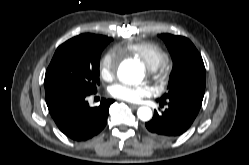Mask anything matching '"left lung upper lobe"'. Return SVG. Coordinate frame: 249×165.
Masks as SVG:
<instances>
[{"label": "left lung upper lobe", "mask_w": 249, "mask_h": 165, "mask_svg": "<svg viewBox=\"0 0 249 165\" xmlns=\"http://www.w3.org/2000/svg\"><path fill=\"white\" fill-rule=\"evenodd\" d=\"M173 59L168 89L161 99L189 95L203 99L205 92V67L193 43L182 36L161 34Z\"/></svg>", "instance_id": "obj_1"}]
</instances>
